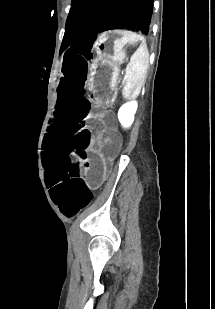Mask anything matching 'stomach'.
Returning <instances> with one entry per match:
<instances>
[{
	"instance_id": "1",
	"label": "stomach",
	"mask_w": 215,
	"mask_h": 309,
	"mask_svg": "<svg viewBox=\"0 0 215 309\" xmlns=\"http://www.w3.org/2000/svg\"><path fill=\"white\" fill-rule=\"evenodd\" d=\"M141 42L139 34L126 29L110 30L97 37L94 45L96 57L87 76V87L93 100L104 101L113 97L120 64L127 52Z\"/></svg>"
}]
</instances>
